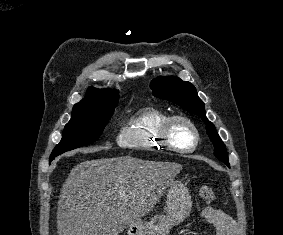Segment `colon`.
Here are the masks:
<instances>
[{"label": "colon", "mask_w": 283, "mask_h": 235, "mask_svg": "<svg viewBox=\"0 0 283 235\" xmlns=\"http://www.w3.org/2000/svg\"><path fill=\"white\" fill-rule=\"evenodd\" d=\"M200 197L207 203H211L215 200V193L210 186L203 185L199 189Z\"/></svg>", "instance_id": "colon-1"}]
</instances>
